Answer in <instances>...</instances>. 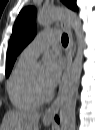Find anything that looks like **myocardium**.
<instances>
[{
  "label": "myocardium",
  "instance_id": "myocardium-1",
  "mask_svg": "<svg viewBox=\"0 0 95 130\" xmlns=\"http://www.w3.org/2000/svg\"><path fill=\"white\" fill-rule=\"evenodd\" d=\"M32 88L34 91L35 96L41 101V102H47L53 97V91L51 89L44 91L42 90L33 79H31Z\"/></svg>",
  "mask_w": 95,
  "mask_h": 130
}]
</instances>
